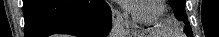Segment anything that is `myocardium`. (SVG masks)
<instances>
[{
	"label": "myocardium",
	"mask_w": 219,
	"mask_h": 37,
	"mask_svg": "<svg viewBox=\"0 0 219 37\" xmlns=\"http://www.w3.org/2000/svg\"><path fill=\"white\" fill-rule=\"evenodd\" d=\"M143 1V0H140ZM137 2V1H136ZM156 11L150 15H141L134 10V6L128 9L132 20L137 24H151L159 20L165 12V0H156Z\"/></svg>",
	"instance_id": "obj_1"
}]
</instances>
